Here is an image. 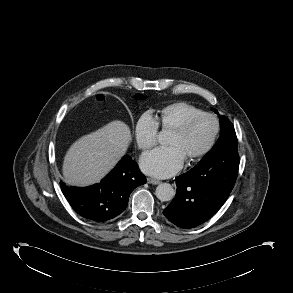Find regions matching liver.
Returning <instances> with one entry per match:
<instances>
[{"label": "liver", "instance_id": "6515ba94", "mask_svg": "<svg viewBox=\"0 0 293 293\" xmlns=\"http://www.w3.org/2000/svg\"><path fill=\"white\" fill-rule=\"evenodd\" d=\"M131 139L130 128L120 120L81 137L64 157V181L74 186L99 182L126 153Z\"/></svg>", "mask_w": 293, "mask_h": 293}]
</instances>
